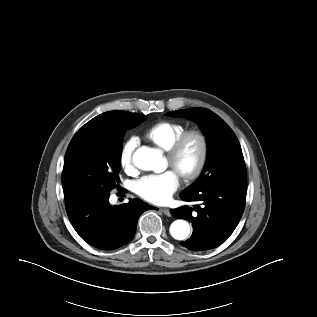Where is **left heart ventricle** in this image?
Here are the masks:
<instances>
[{"instance_id": "left-heart-ventricle-1", "label": "left heart ventricle", "mask_w": 317, "mask_h": 317, "mask_svg": "<svg viewBox=\"0 0 317 317\" xmlns=\"http://www.w3.org/2000/svg\"><path fill=\"white\" fill-rule=\"evenodd\" d=\"M198 156V143L196 140H191L185 147L181 158H180V167L187 169L190 168L194 162L196 161V158Z\"/></svg>"}]
</instances>
